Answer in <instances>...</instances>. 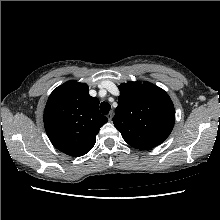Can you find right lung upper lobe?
I'll list each match as a JSON object with an SVG mask.
<instances>
[{
  "label": "right lung upper lobe",
  "mask_w": 220,
  "mask_h": 220,
  "mask_svg": "<svg viewBox=\"0 0 220 220\" xmlns=\"http://www.w3.org/2000/svg\"><path fill=\"white\" fill-rule=\"evenodd\" d=\"M107 121L99 112V100L89 95L87 84L73 80L50 94L44 110L50 141L59 151L74 157L93 148L100 127Z\"/></svg>",
  "instance_id": "right-lung-upper-lobe-1"
}]
</instances>
